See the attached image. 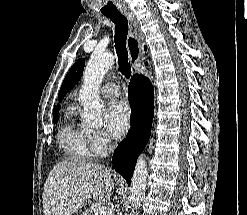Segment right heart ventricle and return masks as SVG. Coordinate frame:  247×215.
I'll use <instances>...</instances> for the list:
<instances>
[{"label":"right heart ventricle","mask_w":247,"mask_h":215,"mask_svg":"<svg viewBox=\"0 0 247 215\" xmlns=\"http://www.w3.org/2000/svg\"><path fill=\"white\" fill-rule=\"evenodd\" d=\"M73 110L70 108L65 122L59 130V144L69 159L84 161L92 157L87 139V130L76 126L72 121Z\"/></svg>","instance_id":"e07e8e85"}]
</instances>
